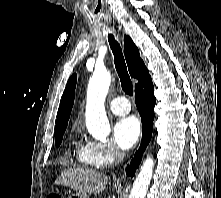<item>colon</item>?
I'll list each match as a JSON object with an SVG mask.
<instances>
[{
    "instance_id": "1",
    "label": "colon",
    "mask_w": 221,
    "mask_h": 198,
    "mask_svg": "<svg viewBox=\"0 0 221 198\" xmlns=\"http://www.w3.org/2000/svg\"><path fill=\"white\" fill-rule=\"evenodd\" d=\"M47 198H62L58 193H51Z\"/></svg>"
}]
</instances>
